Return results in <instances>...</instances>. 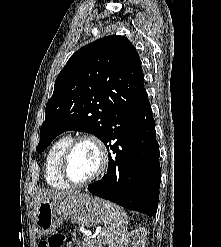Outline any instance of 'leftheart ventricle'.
Here are the masks:
<instances>
[{"mask_svg": "<svg viewBox=\"0 0 221 247\" xmlns=\"http://www.w3.org/2000/svg\"><path fill=\"white\" fill-rule=\"evenodd\" d=\"M98 166L99 155L96 147L89 142H82L71 154L68 171L74 181L80 182L91 177Z\"/></svg>", "mask_w": 221, "mask_h": 247, "instance_id": "left-heart-ventricle-1", "label": "left heart ventricle"}]
</instances>
